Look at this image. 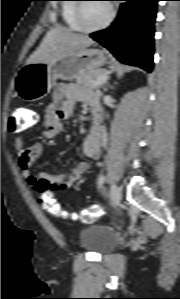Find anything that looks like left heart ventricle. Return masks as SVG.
Wrapping results in <instances>:
<instances>
[{
	"label": "left heart ventricle",
	"mask_w": 180,
	"mask_h": 299,
	"mask_svg": "<svg viewBox=\"0 0 180 299\" xmlns=\"http://www.w3.org/2000/svg\"><path fill=\"white\" fill-rule=\"evenodd\" d=\"M109 14V4L106 2L85 3L82 11L84 25L93 27L101 24Z\"/></svg>",
	"instance_id": "b2bd125f"
}]
</instances>
